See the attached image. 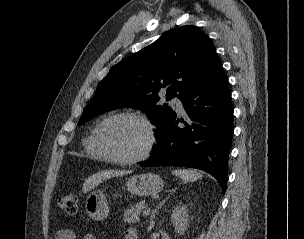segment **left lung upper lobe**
<instances>
[{
  "label": "left lung upper lobe",
  "mask_w": 304,
  "mask_h": 239,
  "mask_svg": "<svg viewBox=\"0 0 304 239\" xmlns=\"http://www.w3.org/2000/svg\"><path fill=\"white\" fill-rule=\"evenodd\" d=\"M208 36L195 26H183L113 66L98 84L78 122L117 108L149 112L157 127L156 138L176 115L167 104H159L158 92L166 90V100H181L204 75L215 57Z\"/></svg>",
  "instance_id": "left-lung-upper-lobe-1"
}]
</instances>
